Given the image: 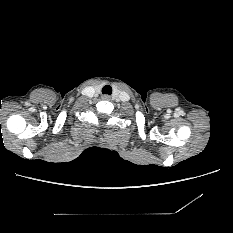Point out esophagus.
<instances>
[{"instance_id":"esophagus-1","label":"esophagus","mask_w":233,"mask_h":233,"mask_svg":"<svg viewBox=\"0 0 233 233\" xmlns=\"http://www.w3.org/2000/svg\"><path fill=\"white\" fill-rule=\"evenodd\" d=\"M102 99L108 100V99H109V96H108V95H104V96L102 97Z\"/></svg>"}]
</instances>
